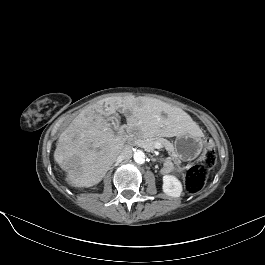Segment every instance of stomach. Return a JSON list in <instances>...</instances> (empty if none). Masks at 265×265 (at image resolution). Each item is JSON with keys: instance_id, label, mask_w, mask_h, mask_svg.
Returning a JSON list of instances; mask_svg holds the SVG:
<instances>
[{"instance_id": "1", "label": "stomach", "mask_w": 265, "mask_h": 265, "mask_svg": "<svg viewBox=\"0 0 265 265\" xmlns=\"http://www.w3.org/2000/svg\"><path fill=\"white\" fill-rule=\"evenodd\" d=\"M175 153L183 161L194 160L202 151V140L192 134H183L176 136L174 141Z\"/></svg>"}]
</instances>
